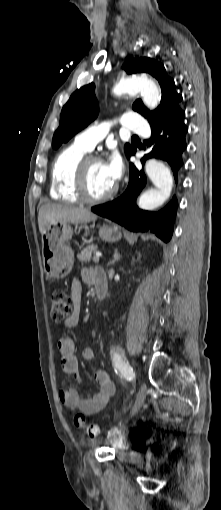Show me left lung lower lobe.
Here are the masks:
<instances>
[{
  "label": "left lung lower lobe",
  "instance_id": "left-lung-lower-lobe-1",
  "mask_svg": "<svg viewBox=\"0 0 221 510\" xmlns=\"http://www.w3.org/2000/svg\"><path fill=\"white\" fill-rule=\"evenodd\" d=\"M185 113L170 114L158 121L150 122L152 135L145 149H150L142 159L155 157L166 161L173 171L175 181L183 165L182 152L186 148L185 135L188 128L183 123ZM134 150L128 157L135 153ZM129 184L126 191L116 200L92 207L91 210L111 219L134 232H153L163 241L168 242L173 233V222L177 210L174 196L169 204L158 212L140 210L136 206V197L146 184L143 170L139 171L132 163L129 165Z\"/></svg>",
  "mask_w": 221,
  "mask_h": 510
}]
</instances>
